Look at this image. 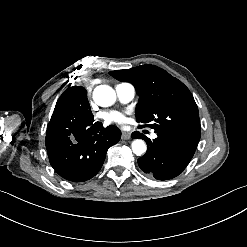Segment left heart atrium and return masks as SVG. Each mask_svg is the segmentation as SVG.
Masks as SVG:
<instances>
[{
	"label": "left heart atrium",
	"instance_id": "39dd6f15",
	"mask_svg": "<svg viewBox=\"0 0 247 247\" xmlns=\"http://www.w3.org/2000/svg\"><path fill=\"white\" fill-rule=\"evenodd\" d=\"M101 118L107 123L122 124L127 121L126 114L121 111L110 110L101 114Z\"/></svg>",
	"mask_w": 247,
	"mask_h": 247
}]
</instances>
